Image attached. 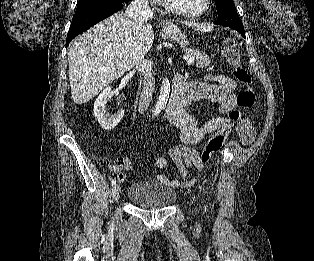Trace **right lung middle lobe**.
Listing matches in <instances>:
<instances>
[{
	"instance_id": "dd1d6c3e",
	"label": "right lung middle lobe",
	"mask_w": 314,
	"mask_h": 261,
	"mask_svg": "<svg viewBox=\"0 0 314 261\" xmlns=\"http://www.w3.org/2000/svg\"><path fill=\"white\" fill-rule=\"evenodd\" d=\"M129 0H79L76 13L110 2H128Z\"/></svg>"
}]
</instances>
